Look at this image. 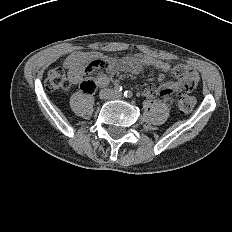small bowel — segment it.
<instances>
[{
  "mask_svg": "<svg viewBox=\"0 0 232 232\" xmlns=\"http://www.w3.org/2000/svg\"><path fill=\"white\" fill-rule=\"evenodd\" d=\"M154 66L160 68L163 72L171 71L175 77L174 81L166 82L161 84L157 89L146 88L143 91V96L147 100H152L155 95L159 96V101L162 104H168L172 100V92H177L181 87L190 86L197 83L199 77L195 71H192L186 66H176L172 68L170 64L161 62L147 55H137L133 62H129L126 59H122L119 62L109 63L107 67V72L112 74L118 70L131 72L134 74L141 73L145 67ZM68 77L71 82L78 83L82 80V71L77 67H69ZM163 76L159 77L162 81ZM109 81V77L102 74L98 77L97 83L99 85H105Z\"/></svg>",
  "mask_w": 232,
  "mask_h": 232,
  "instance_id": "c3829d8e",
  "label": "small bowel"
}]
</instances>
